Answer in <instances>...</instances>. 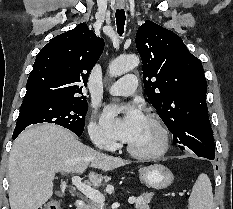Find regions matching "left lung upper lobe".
Segmentation results:
<instances>
[{
    "mask_svg": "<svg viewBox=\"0 0 233 209\" xmlns=\"http://www.w3.org/2000/svg\"><path fill=\"white\" fill-rule=\"evenodd\" d=\"M148 99L181 149L214 159L206 105L207 82L200 60L170 30L146 21L136 34Z\"/></svg>",
    "mask_w": 233,
    "mask_h": 209,
    "instance_id": "1",
    "label": "left lung upper lobe"
}]
</instances>
